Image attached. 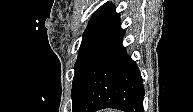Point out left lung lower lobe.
Listing matches in <instances>:
<instances>
[{
	"instance_id": "left-lung-lower-lobe-1",
	"label": "left lung lower lobe",
	"mask_w": 193,
	"mask_h": 112,
	"mask_svg": "<svg viewBox=\"0 0 193 112\" xmlns=\"http://www.w3.org/2000/svg\"><path fill=\"white\" fill-rule=\"evenodd\" d=\"M124 34L118 15L81 50L74 66L72 112H144L142 77L122 45Z\"/></svg>"
}]
</instances>
